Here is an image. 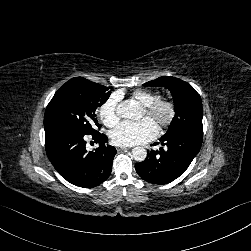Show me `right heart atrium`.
Instances as JSON below:
<instances>
[{
    "label": "right heart atrium",
    "mask_w": 251,
    "mask_h": 251,
    "mask_svg": "<svg viewBox=\"0 0 251 251\" xmlns=\"http://www.w3.org/2000/svg\"><path fill=\"white\" fill-rule=\"evenodd\" d=\"M119 97L111 94L98 107V116L107 127H114L119 121L118 114Z\"/></svg>",
    "instance_id": "right-heart-atrium-1"
}]
</instances>
